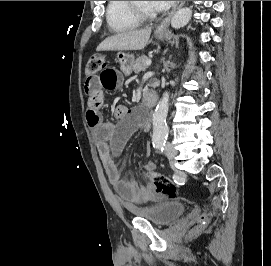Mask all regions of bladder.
I'll return each mask as SVG.
<instances>
[{"label":"bladder","mask_w":271,"mask_h":266,"mask_svg":"<svg viewBox=\"0 0 271 266\" xmlns=\"http://www.w3.org/2000/svg\"><path fill=\"white\" fill-rule=\"evenodd\" d=\"M185 209V203L176 201L146 210L137 209L133 212V215L137 218L147 220L154 225L165 226L179 218Z\"/></svg>","instance_id":"bladder-1"}]
</instances>
